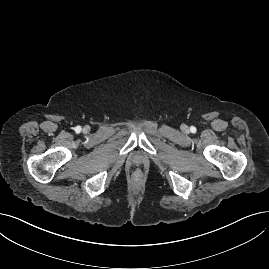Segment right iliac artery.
Returning a JSON list of instances; mask_svg holds the SVG:
<instances>
[{
    "label": "right iliac artery",
    "mask_w": 269,
    "mask_h": 269,
    "mask_svg": "<svg viewBox=\"0 0 269 269\" xmlns=\"http://www.w3.org/2000/svg\"><path fill=\"white\" fill-rule=\"evenodd\" d=\"M75 131H76V133H79L81 131V126L75 127Z\"/></svg>",
    "instance_id": "obj_1"
}]
</instances>
